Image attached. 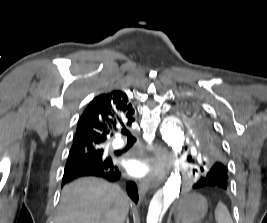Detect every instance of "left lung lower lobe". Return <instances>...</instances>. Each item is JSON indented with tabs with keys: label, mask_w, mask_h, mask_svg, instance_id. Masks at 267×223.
Wrapping results in <instances>:
<instances>
[{
	"label": "left lung lower lobe",
	"mask_w": 267,
	"mask_h": 223,
	"mask_svg": "<svg viewBox=\"0 0 267 223\" xmlns=\"http://www.w3.org/2000/svg\"><path fill=\"white\" fill-rule=\"evenodd\" d=\"M231 181L228 171H193L191 177H184V182H190V192L197 194L228 195L230 187H235Z\"/></svg>",
	"instance_id": "1"
}]
</instances>
